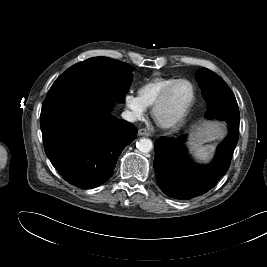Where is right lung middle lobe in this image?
<instances>
[{"label": "right lung middle lobe", "mask_w": 267, "mask_h": 267, "mask_svg": "<svg viewBox=\"0 0 267 267\" xmlns=\"http://www.w3.org/2000/svg\"><path fill=\"white\" fill-rule=\"evenodd\" d=\"M133 68L107 57H93L67 69L51 86L43 105L64 95L86 92L122 103L132 83Z\"/></svg>", "instance_id": "obj_1"}]
</instances>
